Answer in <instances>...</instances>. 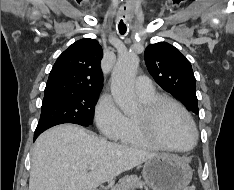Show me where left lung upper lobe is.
<instances>
[{"label":"left lung upper lobe","instance_id":"5c2ea615","mask_svg":"<svg viewBox=\"0 0 234 190\" xmlns=\"http://www.w3.org/2000/svg\"><path fill=\"white\" fill-rule=\"evenodd\" d=\"M145 63L155 81L176 96L188 110L198 114L196 79L191 63L173 45L150 44L145 49Z\"/></svg>","mask_w":234,"mask_h":190}]
</instances>
